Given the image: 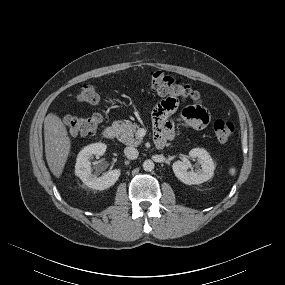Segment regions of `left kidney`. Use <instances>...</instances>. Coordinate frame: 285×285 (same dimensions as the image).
I'll list each match as a JSON object with an SVG mask.
<instances>
[{"label": "left kidney", "mask_w": 285, "mask_h": 285, "mask_svg": "<svg viewBox=\"0 0 285 285\" xmlns=\"http://www.w3.org/2000/svg\"><path fill=\"white\" fill-rule=\"evenodd\" d=\"M191 158H197L201 169L197 172L187 171L188 166L183 161H176L172 165L175 176L187 185L201 184L212 178L215 165L209 153L202 148H194L189 152Z\"/></svg>", "instance_id": "5707ae66"}]
</instances>
